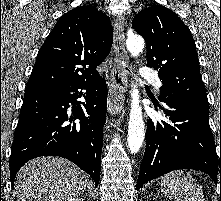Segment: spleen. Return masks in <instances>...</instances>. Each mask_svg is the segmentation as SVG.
Masks as SVG:
<instances>
[{
	"label": "spleen",
	"mask_w": 221,
	"mask_h": 201,
	"mask_svg": "<svg viewBox=\"0 0 221 201\" xmlns=\"http://www.w3.org/2000/svg\"><path fill=\"white\" fill-rule=\"evenodd\" d=\"M161 192L175 201H205L201 186L183 170L166 174L161 180Z\"/></svg>",
	"instance_id": "spleen-1"
}]
</instances>
